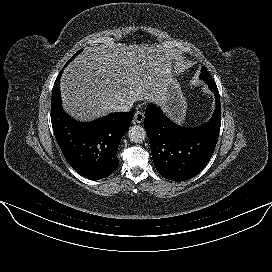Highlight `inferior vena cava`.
<instances>
[{"label": "inferior vena cava", "mask_w": 272, "mask_h": 272, "mask_svg": "<svg viewBox=\"0 0 272 272\" xmlns=\"http://www.w3.org/2000/svg\"><path fill=\"white\" fill-rule=\"evenodd\" d=\"M133 106L132 101H122L119 104L112 107L114 112H128Z\"/></svg>", "instance_id": "obj_1"}]
</instances>
